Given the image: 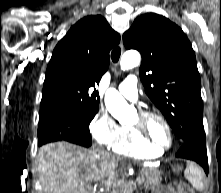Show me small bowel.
<instances>
[{
	"mask_svg": "<svg viewBox=\"0 0 221 193\" xmlns=\"http://www.w3.org/2000/svg\"><path fill=\"white\" fill-rule=\"evenodd\" d=\"M154 193H184V186L183 185L164 186L156 189Z\"/></svg>",
	"mask_w": 221,
	"mask_h": 193,
	"instance_id": "small-bowel-1",
	"label": "small bowel"
}]
</instances>
